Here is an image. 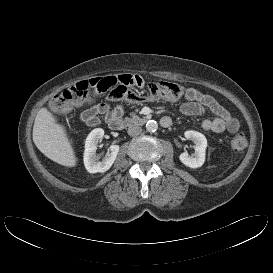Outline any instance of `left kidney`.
<instances>
[{"label":"left kidney","instance_id":"5707ae66","mask_svg":"<svg viewBox=\"0 0 273 273\" xmlns=\"http://www.w3.org/2000/svg\"><path fill=\"white\" fill-rule=\"evenodd\" d=\"M185 137L192 140L195 144V152L189 155L187 152L180 154V161L187 167L198 168L201 167L205 162V150L207 148L206 137L197 131L189 130L184 133Z\"/></svg>","mask_w":273,"mask_h":273}]
</instances>
